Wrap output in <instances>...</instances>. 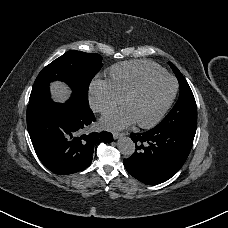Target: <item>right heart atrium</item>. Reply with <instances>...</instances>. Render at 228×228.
<instances>
[{"instance_id":"right-heart-atrium-1","label":"right heart atrium","mask_w":228,"mask_h":228,"mask_svg":"<svg viewBox=\"0 0 228 228\" xmlns=\"http://www.w3.org/2000/svg\"><path fill=\"white\" fill-rule=\"evenodd\" d=\"M89 101L96 112L106 113L121 104L122 98L109 80H97L90 86Z\"/></svg>"}]
</instances>
